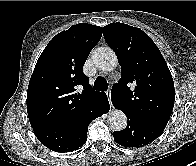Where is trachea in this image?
Returning a JSON list of instances; mask_svg holds the SVG:
<instances>
[{
    "instance_id": "1",
    "label": "trachea",
    "mask_w": 196,
    "mask_h": 166,
    "mask_svg": "<svg viewBox=\"0 0 196 166\" xmlns=\"http://www.w3.org/2000/svg\"><path fill=\"white\" fill-rule=\"evenodd\" d=\"M93 88L98 91H106L108 89V83L103 77H97Z\"/></svg>"
}]
</instances>
